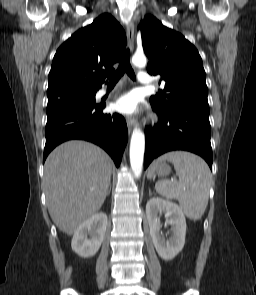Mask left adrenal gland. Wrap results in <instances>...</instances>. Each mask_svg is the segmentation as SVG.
I'll use <instances>...</instances> for the list:
<instances>
[{"label": "left adrenal gland", "instance_id": "1", "mask_svg": "<svg viewBox=\"0 0 256 295\" xmlns=\"http://www.w3.org/2000/svg\"><path fill=\"white\" fill-rule=\"evenodd\" d=\"M152 191H151V189L149 188V196H152Z\"/></svg>", "mask_w": 256, "mask_h": 295}]
</instances>
